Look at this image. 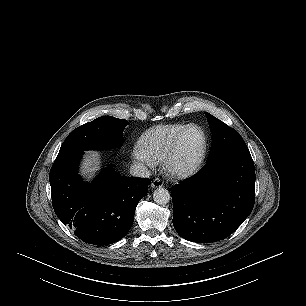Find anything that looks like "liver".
<instances>
[{
    "mask_svg": "<svg viewBox=\"0 0 306 306\" xmlns=\"http://www.w3.org/2000/svg\"><path fill=\"white\" fill-rule=\"evenodd\" d=\"M98 153H93L92 158H86L84 162V167L86 168V173L93 174L96 170V163H97Z\"/></svg>",
    "mask_w": 306,
    "mask_h": 306,
    "instance_id": "1",
    "label": "liver"
}]
</instances>
